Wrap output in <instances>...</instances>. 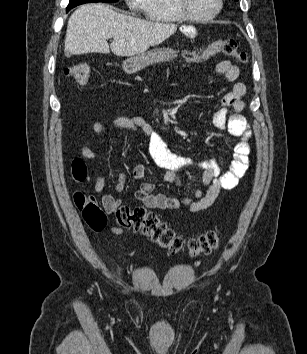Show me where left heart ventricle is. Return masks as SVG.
Listing matches in <instances>:
<instances>
[{
	"label": "left heart ventricle",
	"instance_id": "left-heart-ventricle-1",
	"mask_svg": "<svg viewBox=\"0 0 307 354\" xmlns=\"http://www.w3.org/2000/svg\"><path fill=\"white\" fill-rule=\"evenodd\" d=\"M189 11L196 16H207L217 6V0H187Z\"/></svg>",
	"mask_w": 307,
	"mask_h": 354
}]
</instances>
